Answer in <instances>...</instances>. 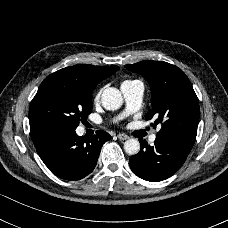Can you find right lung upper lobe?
I'll use <instances>...</instances> for the list:
<instances>
[{
	"instance_id": "1",
	"label": "right lung upper lobe",
	"mask_w": 228,
	"mask_h": 228,
	"mask_svg": "<svg viewBox=\"0 0 228 228\" xmlns=\"http://www.w3.org/2000/svg\"><path fill=\"white\" fill-rule=\"evenodd\" d=\"M118 69V66H93L88 64H78L63 68L53 74L74 77L93 89L100 81L108 78Z\"/></svg>"
}]
</instances>
